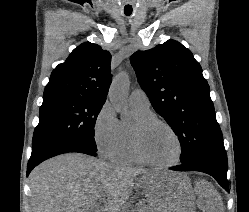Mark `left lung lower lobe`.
Returning <instances> with one entry per match:
<instances>
[{
	"label": "left lung lower lobe",
	"mask_w": 249,
	"mask_h": 212,
	"mask_svg": "<svg viewBox=\"0 0 249 212\" xmlns=\"http://www.w3.org/2000/svg\"><path fill=\"white\" fill-rule=\"evenodd\" d=\"M228 160L224 145L201 151L186 163L171 167L175 171H199L213 176L229 192L227 180Z\"/></svg>",
	"instance_id": "obj_1"
}]
</instances>
